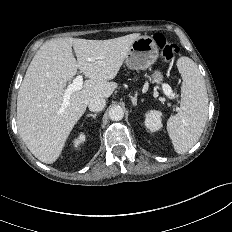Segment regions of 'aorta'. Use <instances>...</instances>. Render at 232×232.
Instances as JSON below:
<instances>
[{"instance_id":"762f6f07","label":"aorta","mask_w":232,"mask_h":232,"mask_svg":"<svg viewBox=\"0 0 232 232\" xmlns=\"http://www.w3.org/2000/svg\"><path fill=\"white\" fill-rule=\"evenodd\" d=\"M108 116L112 121H119L124 116V110L121 106H113L109 109Z\"/></svg>"}]
</instances>
